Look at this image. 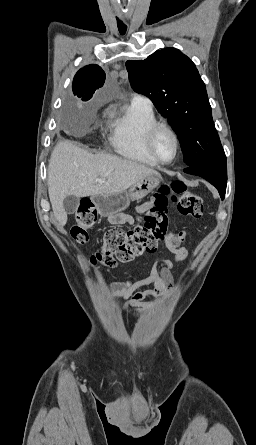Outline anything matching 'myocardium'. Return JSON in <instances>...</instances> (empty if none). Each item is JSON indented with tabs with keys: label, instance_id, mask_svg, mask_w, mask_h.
I'll return each mask as SVG.
<instances>
[{
	"label": "myocardium",
	"instance_id": "obj_1",
	"mask_svg": "<svg viewBox=\"0 0 256 445\" xmlns=\"http://www.w3.org/2000/svg\"><path fill=\"white\" fill-rule=\"evenodd\" d=\"M161 130H166L167 132H169L171 134V136L174 139L175 142V146H176V151L175 154L173 156V158L169 161H164L162 160L155 149V140H156V136L157 134L161 131ZM146 148L147 151L149 153V155L152 157V159L160 165H170L173 162H175L180 154V149H181V145H180V139L178 134L176 133V131L167 123L164 122H156L154 123L147 131L146 133Z\"/></svg>",
	"mask_w": 256,
	"mask_h": 445
}]
</instances>
